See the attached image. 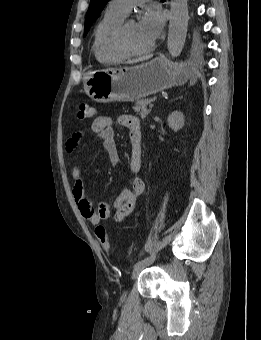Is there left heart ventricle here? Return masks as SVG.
I'll list each match as a JSON object with an SVG mask.
<instances>
[{"instance_id":"b2bd125f","label":"left heart ventricle","mask_w":261,"mask_h":340,"mask_svg":"<svg viewBox=\"0 0 261 340\" xmlns=\"http://www.w3.org/2000/svg\"><path fill=\"white\" fill-rule=\"evenodd\" d=\"M127 42L133 50H143L149 47L152 43L144 36L138 28L135 21H130L126 29Z\"/></svg>"}]
</instances>
